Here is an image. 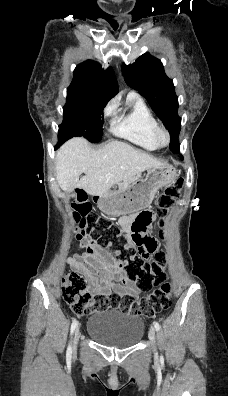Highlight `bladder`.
Returning <instances> with one entry per match:
<instances>
[{"mask_svg":"<svg viewBox=\"0 0 228 396\" xmlns=\"http://www.w3.org/2000/svg\"><path fill=\"white\" fill-rule=\"evenodd\" d=\"M145 323L137 314L112 309L89 317L87 333L97 343L112 348H129L144 336Z\"/></svg>","mask_w":228,"mask_h":396,"instance_id":"31cf9c89","label":"bladder"}]
</instances>
